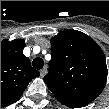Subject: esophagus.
I'll return each mask as SVG.
<instances>
[{
    "label": "esophagus",
    "mask_w": 109,
    "mask_h": 109,
    "mask_svg": "<svg viewBox=\"0 0 109 109\" xmlns=\"http://www.w3.org/2000/svg\"><path fill=\"white\" fill-rule=\"evenodd\" d=\"M46 73H47V68H46V66H44V67L40 70V76H41V77H44Z\"/></svg>",
    "instance_id": "1"
}]
</instances>
